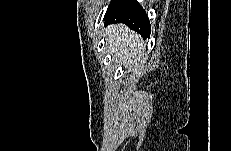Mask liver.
I'll list each match as a JSON object with an SVG mask.
<instances>
[{"label":"liver","mask_w":231,"mask_h":151,"mask_svg":"<svg viewBox=\"0 0 231 151\" xmlns=\"http://www.w3.org/2000/svg\"><path fill=\"white\" fill-rule=\"evenodd\" d=\"M106 41L112 56L124 65H136L144 56L143 40L139 34L123 24H114L105 29Z\"/></svg>","instance_id":"obj_1"}]
</instances>
